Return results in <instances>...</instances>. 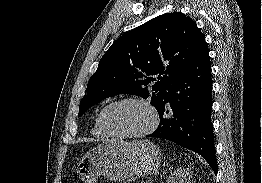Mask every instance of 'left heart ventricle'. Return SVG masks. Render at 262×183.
Masks as SVG:
<instances>
[{
	"label": "left heart ventricle",
	"instance_id": "left-heart-ventricle-1",
	"mask_svg": "<svg viewBox=\"0 0 262 183\" xmlns=\"http://www.w3.org/2000/svg\"><path fill=\"white\" fill-rule=\"evenodd\" d=\"M108 129L117 134H131L145 130L152 121L149 110L135 103H125L109 109L104 117Z\"/></svg>",
	"mask_w": 262,
	"mask_h": 183
}]
</instances>
